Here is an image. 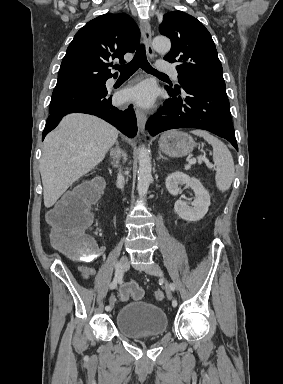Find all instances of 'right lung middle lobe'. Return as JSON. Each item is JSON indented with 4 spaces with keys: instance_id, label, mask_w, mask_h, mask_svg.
<instances>
[{
    "instance_id": "right-lung-middle-lobe-1",
    "label": "right lung middle lobe",
    "mask_w": 283,
    "mask_h": 384,
    "mask_svg": "<svg viewBox=\"0 0 283 384\" xmlns=\"http://www.w3.org/2000/svg\"><path fill=\"white\" fill-rule=\"evenodd\" d=\"M107 94L105 82L78 87L54 89L50 110L66 107L82 100Z\"/></svg>"
}]
</instances>
